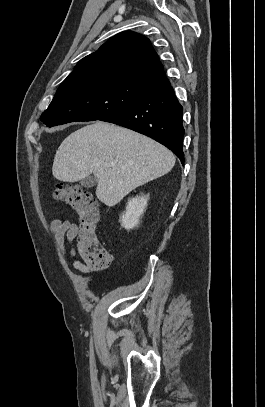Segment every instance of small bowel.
I'll list each match as a JSON object with an SVG mask.
<instances>
[{"mask_svg":"<svg viewBox=\"0 0 265 407\" xmlns=\"http://www.w3.org/2000/svg\"><path fill=\"white\" fill-rule=\"evenodd\" d=\"M50 229L54 234L56 242L64 258L74 257L75 251L72 248H68V244H71L78 234V226L71 223L68 220L54 219L50 224ZM75 269L90 274L89 269L82 265L78 260L73 261Z\"/></svg>","mask_w":265,"mask_h":407,"instance_id":"1","label":"small bowel"}]
</instances>
